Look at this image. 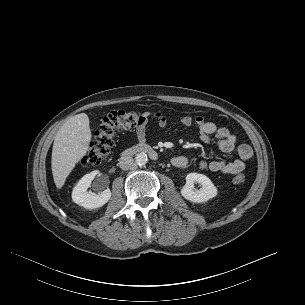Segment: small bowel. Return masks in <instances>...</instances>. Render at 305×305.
I'll list each match as a JSON object with an SVG mask.
<instances>
[{"label": "small bowel", "mask_w": 305, "mask_h": 305, "mask_svg": "<svg viewBox=\"0 0 305 305\" xmlns=\"http://www.w3.org/2000/svg\"><path fill=\"white\" fill-rule=\"evenodd\" d=\"M155 119L161 129L167 126V118L164 115L156 113ZM178 122L185 127H195L198 130L199 139L203 143H213L223 152L236 151L237 153V158L231 162L202 161L200 162L202 170L226 175L238 174L244 171L246 163L253 156L252 148L249 145H236V137L227 127L207 121L201 116H182ZM136 136L140 142L145 140L146 128L144 124L136 128ZM171 164L177 168H186L189 165V160L185 156H176L171 159Z\"/></svg>", "instance_id": "obj_1"}]
</instances>
